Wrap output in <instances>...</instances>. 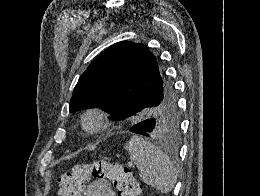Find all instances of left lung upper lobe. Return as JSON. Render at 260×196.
Here are the masks:
<instances>
[{
    "mask_svg": "<svg viewBox=\"0 0 260 196\" xmlns=\"http://www.w3.org/2000/svg\"><path fill=\"white\" fill-rule=\"evenodd\" d=\"M88 108L134 109L127 123L153 120L151 137L170 146L177 145L182 136L174 87L159 57L140 43H116L89 65L74 88L69 110Z\"/></svg>",
    "mask_w": 260,
    "mask_h": 196,
    "instance_id": "obj_1",
    "label": "left lung upper lobe"
}]
</instances>
